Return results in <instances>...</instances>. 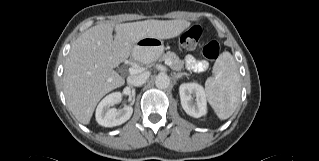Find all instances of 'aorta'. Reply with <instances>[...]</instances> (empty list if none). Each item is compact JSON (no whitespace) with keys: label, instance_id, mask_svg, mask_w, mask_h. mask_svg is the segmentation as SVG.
<instances>
[{"label":"aorta","instance_id":"obj_1","mask_svg":"<svg viewBox=\"0 0 319 161\" xmlns=\"http://www.w3.org/2000/svg\"><path fill=\"white\" fill-rule=\"evenodd\" d=\"M155 85L157 88L159 89H166L169 87L170 85V78L167 74H159L157 77H156V80H155Z\"/></svg>","mask_w":319,"mask_h":161}]
</instances>
